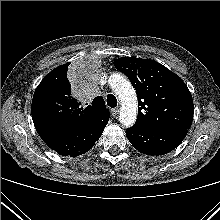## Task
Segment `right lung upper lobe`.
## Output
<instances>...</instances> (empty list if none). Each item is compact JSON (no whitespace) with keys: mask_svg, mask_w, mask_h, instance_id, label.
Returning a JSON list of instances; mask_svg holds the SVG:
<instances>
[{"mask_svg":"<svg viewBox=\"0 0 220 220\" xmlns=\"http://www.w3.org/2000/svg\"><path fill=\"white\" fill-rule=\"evenodd\" d=\"M66 63L47 74L35 90L31 112L37 132L71 129L83 125L101 114H108L101 96L91 105L81 107L71 95Z\"/></svg>","mask_w":220,"mask_h":220,"instance_id":"obj_1","label":"right lung upper lobe"}]
</instances>
